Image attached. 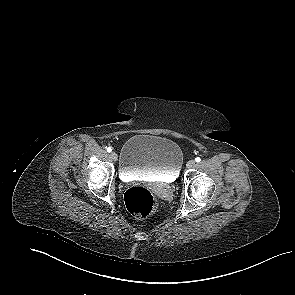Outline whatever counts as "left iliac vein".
<instances>
[{"instance_id": "1", "label": "left iliac vein", "mask_w": 295, "mask_h": 295, "mask_svg": "<svg viewBox=\"0 0 295 295\" xmlns=\"http://www.w3.org/2000/svg\"><path fill=\"white\" fill-rule=\"evenodd\" d=\"M187 168H193L195 166V161L194 160H189L187 162Z\"/></svg>"}]
</instances>
